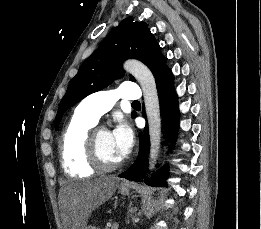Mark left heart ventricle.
<instances>
[{
  "label": "left heart ventricle",
  "instance_id": "obj_1",
  "mask_svg": "<svg viewBox=\"0 0 261 229\" xmlns=\"http://www.w3.org/2000/svg\"><path fill=\"white\" fill-rule=\"evenodd\" d=\"M99 146L100 151L104 159L108 162H117L120 161L121 158L118 155L110 132L106 130H102L99 135Z\"/></svg>",
  "mask_w": 261,
  "mask_h": 229
}]
</instances>
